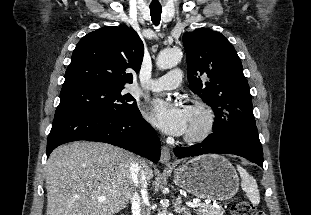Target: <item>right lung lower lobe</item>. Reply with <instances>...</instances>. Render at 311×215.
Returning <instances> with one entry per match:
<instances>
[{
  "instance_id": "right-lung-lower-lobe-1",
  "label": "right lung lower lobe",
  "mask_w": 311,
  "mask_h": 215,
  "mask_svg": "<svg viewBox=\"0 0 311 215\" xmlns=\"http://www.w3.org/2000/svg\"><path fill=\"white\" fill-rule=\"evenodd\" d=\"M77 140L109 143L154 163L160 159V140L140 112L122 117L89 114L57 116L47 139V157L59 145Z\"/></svg>"
}]
</instances>
